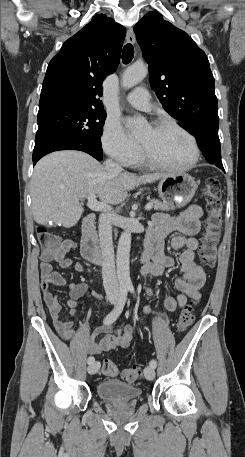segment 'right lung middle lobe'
<instances>
[{
	"label": "right lung middle lobe",
	"mask_w": 245,
	"mask_h": 457,
	"mask_svg": "<svg viewBox=\"0 0 245 457\" xmlns=\"http://www.w3.org/2000/svg\"><path fill=\"white\" fill-rule=\"evenodd\" d=\"M105 119L106 112L102 107L86 104H65L38 112L35 147L53 141L73 142L101 160L100 136Z\"/></svg>",
	"instance_id": "dd1d6c3e"
}]
</instances>
